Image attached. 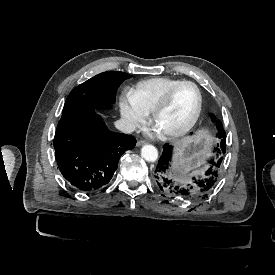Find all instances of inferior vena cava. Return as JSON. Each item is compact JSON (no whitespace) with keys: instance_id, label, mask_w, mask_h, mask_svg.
Returning <instances> with one entry per match:
<instances>
[{"instance_id":"602c4592","label":"inferior vena cava","mask_w":275,"mask_h":275,"mask_svg":"<svg viewBox=\"0 0 275 275\" xmlns=\"http://www.w3.org/2000/svg\"><path fill=\"white\" fill-rule=\"evenodd\" d=\"M117 127L122 130L124 133H132L135 131L136 126L133 123H128L125 121H119Z\"/></svg>"}]
</instances>
